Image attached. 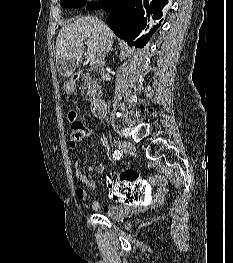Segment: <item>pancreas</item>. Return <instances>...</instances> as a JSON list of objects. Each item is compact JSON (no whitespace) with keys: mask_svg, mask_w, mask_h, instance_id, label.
Listing matches in <instances>:
<instances>
[{"mask_svg":"<svg viewBox=\"0 0 233 263\" xmlns=\"http://www.w3.org/2000/svg\"><path fill=\"white\" fill-rule=\"evenodd\" d=\"M89 71H92V69ZM82 82L83 89L86 90V94L90 97V101L95 100L99 95V85L97 79L93 78L89 73H87L82 77Z\"/></svg>","mask_w":233,"mask_h":263,"instance_id":"pancreas-1","label":"pancreas"}]
</instances>
